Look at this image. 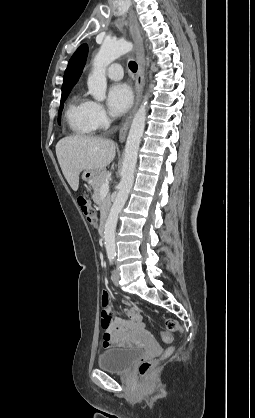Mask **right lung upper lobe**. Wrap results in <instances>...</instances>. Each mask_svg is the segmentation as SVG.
Returning a JSON list of instances; mask_svg holds the SVG:
<instances>
[{"label":"right lung upper lobe","instance_id":"right-lung-upper-lobe-1","mask_svg":"<svg viewBox=\"0 0 255 418\" xmlns=\"http://www.w3.org/2000/svg\"><path fill=\"white\" fill-rule=\"evenodd\" d=\"M88 53V47L86 44H82L76 52L73 54L71 59L69 60L67 69L64 73V82L62 85V92L66 90H71V88L76 84L78 81L83 67L86 62Z\"/></svg>","mask_w":255,"mask_h":418}]
</instances>
